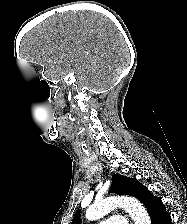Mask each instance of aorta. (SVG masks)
Segmentation results:
<instances>
[{
	"mask_svg": "<svg viewBox=\"0 0 187 224\" xmlns=\"http://www.w3.org/2000/svg\"><path fill=\"white\" fill-rule=\"evenodd\" d=\"M116 207L124 208L135 224H150V217L142 204L131 197H109L96 202L86 210V218L94 221L102 218Z\"/></svg>",
	"mask_w": 187,
	"mask_h": 224,
	"instance_id": "aorta-1",
	"label": "aorta"
}]
</instances>
